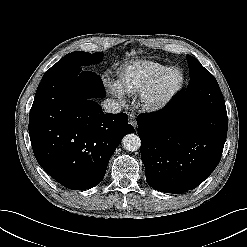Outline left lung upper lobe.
<instances>
[{"label": "left lung upper lobe", "instance_id": "1", "mask_svg": "<svg viewBox=\"0 0 247 247\" xmlns=\"http://www.w3.org/2000/svg\"><path fill=\"white\" fill-rule=\"evenodd\" d=\"M186 58L188 60L189 69H190V80H195V79L201 77L202 74L209 72L193 56L187 55ZM189 86H190V83H189L188 87Z\"/></svg>", "mask_w": 247, "mask_h": 247}]
</instances>
